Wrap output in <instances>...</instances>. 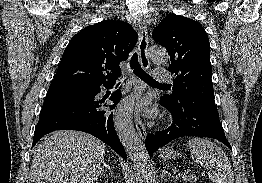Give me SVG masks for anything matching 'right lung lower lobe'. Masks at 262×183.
Returning <instances> with one entry per match:
<instances>
[{"mask_svg": "<svg viewBox=\"0 0 262 183\" xmlns=\"http://www.w3.org/2000/svg\"><path fill=\"white\" fill-rule=\"evenodd\" d=\"M114 83L115 81L48 89L35 127L32 147L52 131L79 130L99 138L126 159L127 154L114 128L113 113L105 109L109 106L112 110L116 106L121 99V92L117 90L109 98L114 102L113 105L95 99L101 91V85L110 89Z\"/></svg>", "mask_w": 262, "mask_h": 183, "instance_id": "1", "label": "right lung lower lobe"}]
</instances>
